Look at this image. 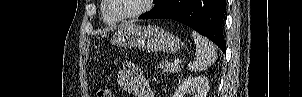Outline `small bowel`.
<instances>
[{"label": "small bowel", "mask_w": 302, "mask_h": 97, "mask_svg": "<svg viewBox=\"0 0 302 97\" xmlns=\"http://www.w3.org/2000/svg\"><path fill=\"white\" fill-rule=\"evenodd\" d=\"M118 82L123 90L137 97H152L147 79L134 65L126 63L122 66Z\"/></svg>", "instance_id": "1"}]
</instances>
